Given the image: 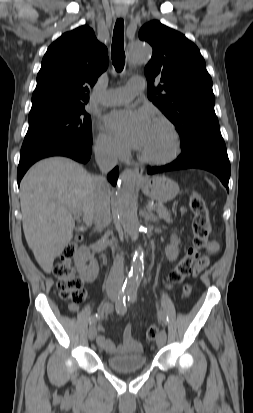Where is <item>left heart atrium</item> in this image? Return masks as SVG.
<instances>
[{
    "label": "left heart atrium",
    "instance_id": "1",
    "mask_svg": "<svg viewBox=\"0 0 253 413\" xmlns=\"http://www.w3.org/2000/svg\"><path fill=\"white\" fill-rule=\"evenodd\" d=\"M107 124L122 141L141 148L153 123L146 111L130 110L111 113L107 117Z\"/></svg>",
    "mask_w": 253,
    "mask_h": 413
}]
</instances>
